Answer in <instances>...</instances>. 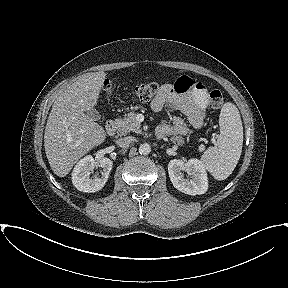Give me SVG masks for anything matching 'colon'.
Returning a JSON list of instances; mask_svg holds the SVG:
<instances>
[{
	"mask_svg": "<svg viewBox=\"0 0 288 288\" xmlns=\"http://www.w3.org/2000/svg\"><path fill=\"white\" fill-rule=\"evenodd\" d=\"M113 82L107 80L104 83L103 90L106 93H111L113 90ZM162 89V85L157 83H145L135 86L132 89V97L138 102H148L155 98ZM224 101L223 94L219 90H213L209 93L208 103L212 109H218Z\"/></svg>",
	"mask_w": 288,
	"mask_h": 288,
	"instance_id": "5ec220e1",
	"label": "colon"
}]
</instances>
